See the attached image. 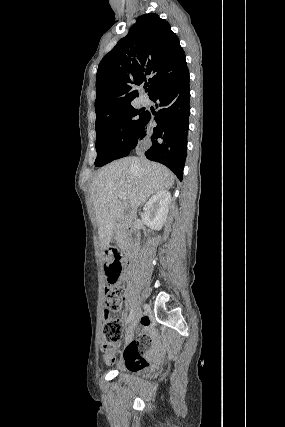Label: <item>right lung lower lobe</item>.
Returning <instances> with one entry per match:
<instances>
[{"mask_svg":"<svg viewBox=\"0 0 285 427\" xmlns=\"http://www.w3.org/2000/svg\"><path fill=\"white\" fill-rule=\"evenodd\" d=\"M188 70L175 82L166 85L150 96L159 101V111L152 116L146 112L139 146L143 139H151L145 152L149 160L166 165L182 180L183 168L187 156V135L190 115V88ZM154 119L157 125L150 127Z\"/></svg>","mask_w":285,"mask_h":427,"instance_id":"1","label":"right lung lower lobe"}]
</instances>
